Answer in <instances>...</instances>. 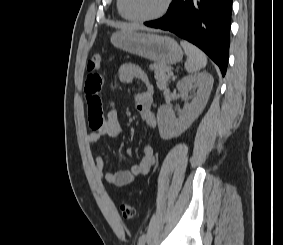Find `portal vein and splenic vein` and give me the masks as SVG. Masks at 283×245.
I'll use <instances>...</instances> for the list:
<instances>
[{"label":"portal vein and splenic vein","instance_id":"portal-vein-and-splenic-vein-1","mask_svg":"<svg viewBox=\"0 0 283 245\" xmlns=\"http://www.w3.org/2000/svg\"><path fill=\"white\" fill-rule=\"evenodd\" d=\"M168 74H169V75H172V74H173L172 70H169V71H168Z\"/></svg>","mask_w":283,"mask_h":245}]
</instances>
